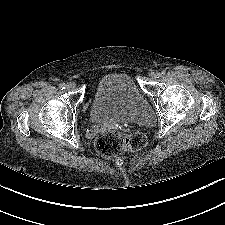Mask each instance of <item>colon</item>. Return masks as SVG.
Returning <instances> with one entry per match:
<instances>
[{"label":"colon","instance_id":"colon-1","mask_svg":"<svg viewBox=\"0 0 225 225\" xmlns=\"http://www.w3.org/2000/svg\"><path fill=\"white\" fill-rule=\"evenodd\" d=\"M147 145L148 139L141 132L124 134L118 131H107L99 134L95 140L97 152L105 156L118 155L124 151L143 150Z\"/></svg>","mask_w":225,"mask_h":225}]
</instances>
